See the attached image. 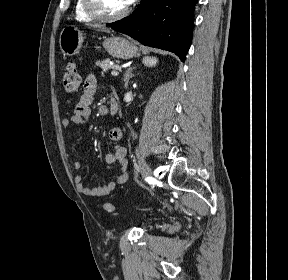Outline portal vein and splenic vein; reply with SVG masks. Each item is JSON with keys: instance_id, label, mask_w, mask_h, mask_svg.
Masks as SVG:
<instances>
[{"instance_id": "18ae733b", "label": "portal vein and splenic vein", "mask_w": 288, "mask_h": 280, "mask_svg": "<svg viewBox=\"0 0 288 280\" xmlns=\"http://www.w3.org/2000/svg\"><path fill=\"white\" fill-rule=\"evenodd\" d=\"M119 70H120L119 67L114 68L113 71L111 72V75L117 76L119 74V72H118Z\"/></svg>"}]
</instances>
